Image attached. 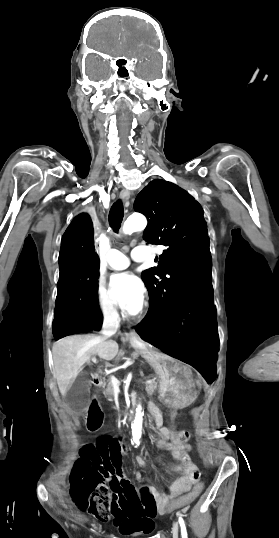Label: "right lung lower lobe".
<instances>
[{
    "mask_svg": "<svg viewBox=\"0 0 279 538\" xmlns=\"http://www.w3.org/2000/svg\"><path fill=\"white\" fill-rule=\"evenodd\" d=\"M93 226L80 214L62 236L59 254L54 338L98 330L103 317L98 308L99 259L94 253Z\"/></svg>",
    "mask_w": 279,
    "mask_h": 538,
    "instance_id": "right-lung-lower-lobe-1",
    "label": "right lung lower lobe"
}]
</instances>
